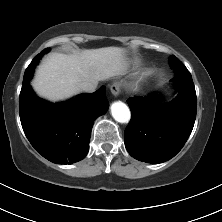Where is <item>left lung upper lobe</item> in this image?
<instances>
[{
  "label": "left lung upper lobe",
  "instance_id": "1",
  "mask_svg": "<svg viewBox=\"0 0 222 222\" xmlns=\"http://www.w3.org/2000/svg\"><path fill=\"white\" fill-rule=\"evenodd\" d=\"M170 62L171 68L174 69L176 74L189 72L187 68L175 56L170 57Z\"/></svg>",
  "mask_w": 222,
  "mask_h": 222
}]
</instances>
